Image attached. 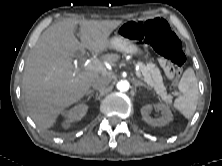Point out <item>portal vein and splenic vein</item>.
Segmentation results:
<instances>
[{
    "label": "portal vein and splenic vein",
    "instance_id": "1",
    "mask_svg": "<svg viewBox=\"0 0 222 166\" xmlns=\"http://www.w3.org/2000/svg\"><path fill=\"white\" fill-rule=\"evenodd\" d=\"M84 68L86 70H90V71H97V72H104L105 71V67L104 65L99 62L98 60H89L87 62H85ZM138 78H142V75L139 71L135 72Z\"/></svg>",
    "mask_w": 222,
    "mask_h": 166
}]
</instances>
